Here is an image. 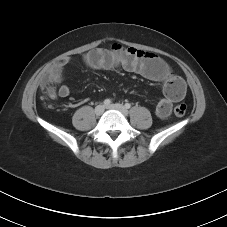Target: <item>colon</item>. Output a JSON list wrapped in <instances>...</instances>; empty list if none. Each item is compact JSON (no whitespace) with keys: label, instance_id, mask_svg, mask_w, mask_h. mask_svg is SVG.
Here are the masks:
<instances>
[{"label":"colon","instance_id":"colon-1","mask_svg":"<svg viewBox=\"0 0 227 227\" xmlns=\"http://www.w3.org/2000/svg\"><path fill=\"white\" fill-rule=\"evenodd\" d=\"M53 82L47 78H43L41 83V89L51 98L54 97L55 90L53 88ZM186 105L185 104H178L174 107V114L177 117H183L186 114Z\"/></svg>","mask_w":227,"mask_h":227}]
</instances>
